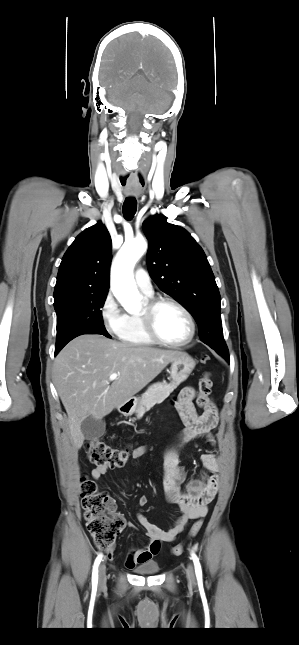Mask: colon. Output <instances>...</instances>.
Returning <instances> with one entry per match:
<instances>
[{"instance_id": "5ec220e1", "label": "colon", "mask_w": 299, "mask_h": 645, "mask_svg": "<svg viewBox=\"0 0 299 645\" xmlns=\"http://www.w3.org/2000/svg\"><path fill=\"white\" fill-rule=\"evenodd\" d=\"M209 361V355L203 354L201 356L202 364H207ZM211 388L212 380L209 374L206 373L199 381L200 395L197 399L199 406L202 407L206 404ZM128 457L129 452L127 449L112 448L98 439H94L89 443L88 458L94 464L118 468L126 463ZM81 498L84 517L96 547L99 550L110 551L117 536L126 525L124 517L117 510L115 500L107 493L100 491L97 484L87 477H83L81 480ZM202 525V519H198L191 527L189 537H195ZM183 551V544H178L172 548L174 555H180Z\"/></svg>"}]
</instances>
